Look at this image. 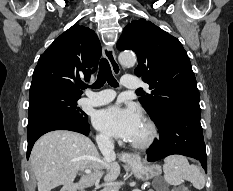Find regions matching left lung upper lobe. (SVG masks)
<instances>
[{"label": "left lung upper lobe", "instance_id": "obj_1", "mask_svg": "<svg viewBox=\"0 0 233 191\" xmlns=\"http://www.w3.org/2000/svg\"><path fill=\"white\" fill-rule=\"evenodd\" d=\"M120 51L132 50L138 57L135 73L149 84L150 94L139 98L157 122L169 109L201 112L199 91L189 57L180 41L145 19L130 22L117 42Z\"/></svg>", "mask_w": 233, "mask_h": 191}]
</instances>
